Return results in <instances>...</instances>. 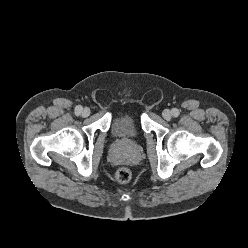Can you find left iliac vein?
I'll return each instance as SVG.
<instances>
[{
    "label": "left iliac vein",
    "mask_w": 248,
    "mask_h": 248,
    "mask_svg": "<svg viewBox=\"0 0 248 248\" xmlns=\"http://www.w3.org/2000/svg\"><path fill=\"white\" fill-rule=\"evenodd\" d=\"M162 116L165 120H170L172 118V112L169 109H165L162 112Z\"/></svg>",
    "instance_id": "1"
}]
</instances>
